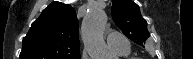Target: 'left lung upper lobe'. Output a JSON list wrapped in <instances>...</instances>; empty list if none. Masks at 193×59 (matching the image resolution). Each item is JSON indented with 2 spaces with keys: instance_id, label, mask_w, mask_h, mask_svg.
I'll list each match as a JSON object with an SVG mask.
<instances>
[{
  "instance_id": "1",
  "label": "left lung upper lobe",
  "mask_w": 193,
  "mask_h": 59,
  "mask_svg": "<svg viewBox=\"0 0 193 59\" xmlns=\"http://www.w3.org/2000/svg\"><path fill=\"white\" fill-rule=\"evenodd\" d=\"M112 17L121 31L132 41L144 47L150 36L147 22L140 9L132 0H112Z\"/></svg>"
}]
</instances>
